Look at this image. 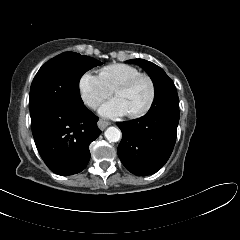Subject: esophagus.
Returning a JSON list of instances; mask_svg holds the SVG:
<instances>
[{
  "mask_svg": "<svg viewBox=\"0 0 240 240\" xmlns=\"http://www.w3.org/2000/svg\"><path fill=\"white\" fill-rule=\"evenodd\" d=\"M110 123L105 120H99L97 125L101 130H104Z\"/></svg>",
  "mask_w": 240,
  "mask_h": 240,
  "instance_id": "obj_1",
  "label": "esophagus"
}]
</instances>
